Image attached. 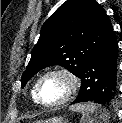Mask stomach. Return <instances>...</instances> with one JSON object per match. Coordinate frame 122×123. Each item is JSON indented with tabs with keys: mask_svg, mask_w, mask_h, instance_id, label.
I'll use <instances>...</instances> for the list:
<instances>
[{
	"mask_svg": "<svg viewBox=\"0 0 122 123\" xmlns=\"http://www.w3.org/2000/svg\"><path fill=\"white\" fill-rule=\"evenodd\" d=\"M45 123H68V121L64 120L61 117H55V118H52V119L45 121Z\"/></svg>",
	"mask_w": 122,
	"mask_h": 123,
	"instance_id": "obj_1",
	"label": "stomach"
}]
</instances>
